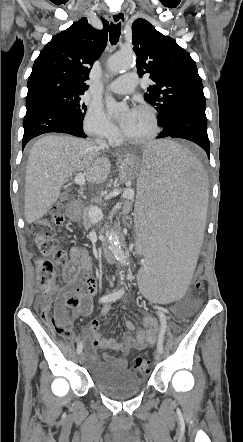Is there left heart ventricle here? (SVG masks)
Here are the masks:
<instances>
[{"instance_id": "obj_1", "label": "left heart ventricle", "mask_w": 243, "mask_h": 442, "mask_svg": "<svg viewBox=\"0 0 243 442\" xmlns=\"http://www.w3.org/2000/svg\"><path fill=\"white\" fill-rule=\"evenodd\" d=\"M124 116L123 120L126 118ZM153 130V121L148 112L136 110L128 124L123 128V133L132 139H140L148 136Z\"/></svg>"}]
</instances>
